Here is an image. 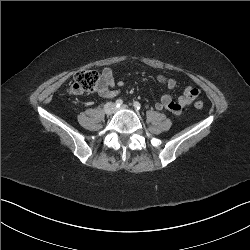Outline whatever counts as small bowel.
I'll use <instances>...</instances> for the list:
<instances>
[{
    "label": "small bowel",
    "mask_w": 250,
    "mask_h": 250,
    "mask_svg": "<svg viewBox=\"0 0 250 250\" xmlns=\"http://www.w3.org/2000/svg\"><path fill=\"white\" fill-rule=\"evenodd\" d=\"M156 80L169 90L174 89L176 86V80L172 77L157 75ZM123 87V82L115 80L112 69L105 67L101 72L97 95L103 99L114 98L120 94ZM198 95L199 90L197 88L188 86L177 99H173L169 93L164 94L155 104V107L157 110H168L176 115H180L183 109L189 106Z\"/></svg>",
    "instance_id": "1"
}]
</instances>
